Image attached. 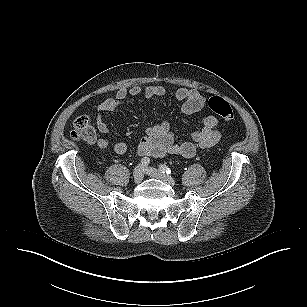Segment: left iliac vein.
<instances>
[{
    "mask_svg": "<svg viewBox=\"0 0 307 307\" xmlns=\"http://www.w3.org/2000/svg\"><path fill=\"white\" fill-rule=\"evenodd\" d=\"M145 173L148 174L150 177L155 178V179H159V180L163 181L164 183H166L170 186L176 185L175 180L171 176L165 175L161 171H159L155 168L146 167Z\"/></svg>",
    "mask_w": 307,
    "mask_h": 307,
    "instance_id": "4c4485c4",
    "label": "left iliac vein"
}]
</instances>
